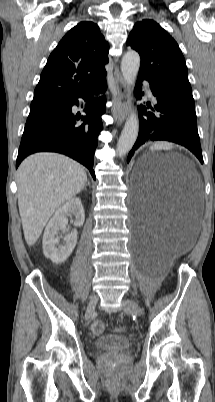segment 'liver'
Masks as SVG:
<instances>
[{
  "instance_id": "1",
  "label": "liver",
  "mask_w": 215,
  "mask_h": 402,
  "mask_svg": "<svg viewBox=\"0 0 215 402\" xmlns=\"http://www.w3.org/2000/svg\"><path fill=\"white\" fill-rule=\"evenodd\" d=\"M87 175L76 161L57 153H36L17 170L18 206L26 243L32 246L49 218L86 185Z\"/></svg>"
}]
</instances>
